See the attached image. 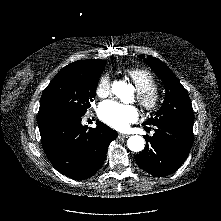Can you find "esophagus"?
<instances>
[{"instance_id":"1","label":"esophagus","mask_w":221,"mask_h":221,"mask_svg":"<svg viewBox=\"0 0 221 221\" xmlns=\"http://www.w3.org/2000/svg\"><path fill=\"white\" fill-rule=\"evenodd\" d=\"M129 135L127 134H118V138H128Z\"/></svg>"}]
</instances>
